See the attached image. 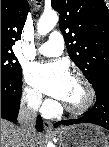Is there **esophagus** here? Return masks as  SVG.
I'll use <instances>...</instances> for the list:
<instances>
[{"label": "esophagus", "instance_id": "34e87169", "mask_svg": "<svg viewBox=\"0 0 109 147\" xmlns=\"http://www.w3.org/2000/svg\"><path fill=\"white\" fill-rule=\"evenodd\" d=\"M43 125H44V129H46V130L53 128L52 123L48 120H44Z\"/></svg>", "mask_w": 109, "mask_h": 147}]
</instances>
